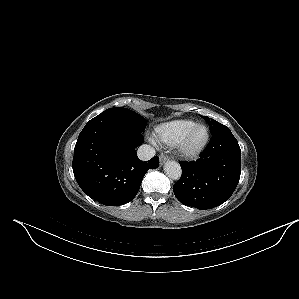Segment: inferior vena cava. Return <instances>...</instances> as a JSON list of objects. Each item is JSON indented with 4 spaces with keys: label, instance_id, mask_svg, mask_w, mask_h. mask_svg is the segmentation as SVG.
<instances>
[{
    "label": "inferior vena cava",
    "instance_id": "602c4592",
    "mask_svg": "<svg viewBox=\"0 0 299 299\" xmlns=\"http://www.w3.org/2000/svg\"><path fill=\"white\" fill-rule=\"evenodd\" d=\"M139 159L146 161L154 157L155 150L150 145H141L137 150Z\"/></svg>",
    "mask_w": 299,
    "mask_h": 299
}]
</instances>
